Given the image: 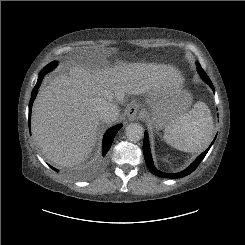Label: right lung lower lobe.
<instances>
[{"mask_svg":"<svg viewBox=\"0 0 245 245\" xmlns=\"http://www.w3.org/2000/svg\"><path fill=\"white\" fill-rule=\"evenodd\" d=\"M47 73L48 72H46V71H41L40 72V76H39V78L37 80V83H36L32 93H31L32 97H31L30 102H29V128H30V117H31V109H32L33 101H34V99H35V97H36V95L38 93V88H39V86H40V84H41V82L43 80V76L45 74H47ZM121 127H122V124L116 125V126L110 128L105 133L104 138H103V145H102V156L103 157L107 154L108 150L111 147V144L113 142V139H114L116 133L121 129ZM50 167L52 169H54L55 171H57V169L53 168L52 166H50Z\"/></svg>","mask_w":245,"mask_h":245,"instance_id":"98d812e1","label":"right lung lower lobe"}]
</instances>
